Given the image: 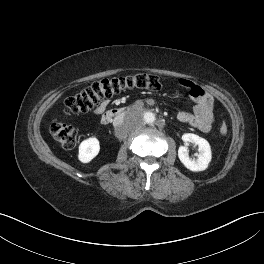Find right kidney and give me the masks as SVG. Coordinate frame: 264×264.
I'll list each match as a JSON object with an SVG mask.
<instances>
[{"label":"right kidney","instance_id":"right-kidney-1","mask_svg":"<svg viewBox=\"0 0 264 264\" xmlns=\"http://www.w3.org/2000/svg\"><path fill=\"white\" fill-rule=\"evenodd\" d=\"M100 151L99 140L95 137L88 138L79 145L78 159L82 163H89Z\"/></svg>","mask_w":264,"mask_h":264}]
</instances>
